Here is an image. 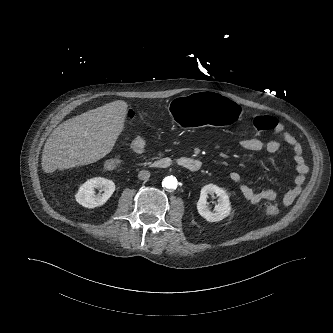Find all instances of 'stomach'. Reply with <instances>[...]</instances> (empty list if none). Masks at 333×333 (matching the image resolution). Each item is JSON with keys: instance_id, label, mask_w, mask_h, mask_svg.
<instances>
[{"instance_id": "stomach-1", "label": "stomach", "mask_w": 333, "mask_h": 333, "mask_svg": "<svg viewBox=\"0 0 333 333\" xmlns=\"http://www.w3.org/2000/svg\"><path fill=\"white\" fill-rule=\"evenodd\" d=\"M169 110L174 119L187 128L216 125L231 129L243 117V108L237 99L225 93L209 91L176 97Z\"/></svg>"}]
</instances>
